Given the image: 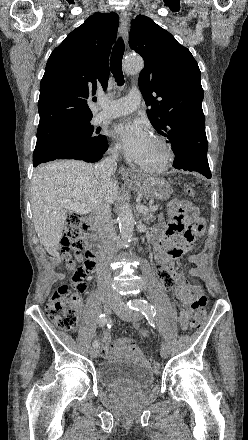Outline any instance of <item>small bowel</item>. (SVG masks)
Here are the masks:
<instances>
[{
	"label": "small bowel",
	"mask_w": 248,
	"mask_h": 440,
	"mask_svg": "<svg viewBox=\"0 0 248 440\" xmlns=\"http://www.w3.org/2000/svg\"><path fill=\"white\" fill-rule=\"evenodd\" d=\"M177 211L172 217L168 227L165 229H157L154 237V245L156 250L155 269L159 272V278L165 288H170L174 283L179 284L176 289V295L181 303L180 319L177 320V327L179 331H188L190 327L189 310L195 309L194 300L197 296L195 288L187 284L186 278L182 273L176 272L174 269V260L182 257L188 253L194 243L196 237L200 236L203 231H195L190 224L188 214L191 207L188 203L183 202L178 204ZM180 236L181 239H175ZM189 261L198 263L200 261L199 255H191ZM198 270L192 268L189 274L197 275ZM137 328L138 325L135 324ZM102 357L110 360L119 356L138 359L149 363L145 359L137 347L136 343L130 338H120L114 343H111L108 331H105L102 337Z\"/></svg>",
	"instance_id": "1"
}]
</instances>
